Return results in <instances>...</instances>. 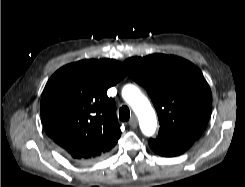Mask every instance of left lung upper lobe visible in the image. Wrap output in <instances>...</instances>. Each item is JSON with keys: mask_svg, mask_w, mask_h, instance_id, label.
I'll use <instances>...</instances> for the list:
<instances>
[{"mask_svg": "<svg viewBox=\"0 0 245 187\" xmlns=\"http://www.w3.org/2000/svg\"><path fill=\"white\" fill-rule=\"evenodd\" d=\"M124 65L151 97L160 123L157 139L200 138L211 114L212 94L194 64L177 56L152 54L129 58Z\"/></svg>", "mask_w": 245, "mask_h": 187, "instance_id": "5c2ea615", "label": "left lung upper lobe"}]
</instances>
